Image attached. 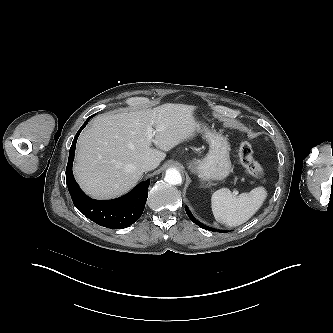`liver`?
Listing matches in <instances>:
<instances>
[{
    "label": "liver",
    "instance_id": "6515ba94",
    "mask_svg": "<svg viewBox=\"0 0 333 333\" xmlns=\"http://www.w3.org/2000/svg\"><path fill=\"white\" fill-rule=\"evenodd\" d=\"M192 108L164 104L152 110L105 113L79 136L74 175L81 188L98 199L128 192L143 175L141 163L165 159V152L192 138L197 122ZM148 127L154 137L147 139ZM157 149L151 147V143Z\"/></svg>",
    "mask_w": 333,
    "mask_h": 333
}]
</instances>
